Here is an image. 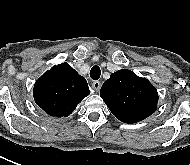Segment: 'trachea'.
I'll return each mask as SVG.
<instances>
[{
	"label": "trachea",
	"mask_w": 190,
	"mask_h": 165,
	"mask_svg": "<svg viewBox=\"0 0 190 165\" xmlns=\"http://www.w3.org/2000/svg\"><path fill=\"white\" fill-rule=\"evenodd\" d=\"M101 75V70L98 66H93L90 70V77L93 80H98L100 78Z\"/></svg>",
	"instance_id": "1"
}]
</instances>
